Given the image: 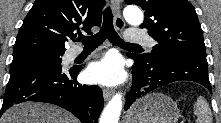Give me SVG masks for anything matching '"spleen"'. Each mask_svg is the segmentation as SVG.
I'll return each mask as SVG.
<instances>
[{"mask_svg": "<svg viewBox=\"0 0 221 123\" xmlns=\"http://www.w3.org/2000/svg\"><path fill=\"white\" fill-rule=\"evenodd\" d=\"M196 123H212L213 117L208 102L200 96L194 104Z\"/></svg>", "mask_w": 221, "mask_h": 123, "instance_id": "3e777b00", "label": "spleen"}]
</instances>
